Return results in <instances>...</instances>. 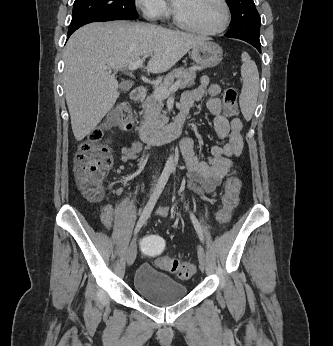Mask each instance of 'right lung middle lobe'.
<instances>
[{"mask_svg":"<svg viewBox=\"0 0 333 346\" xmlns=\"http://www.w3.org/2000/svg\"><path fill=\"white\" fill-rule=\"evenodd\" d=\"M135 0H75L69 31L91 22L137 19Z\"/></svg>","mask_w":333,"mask_h":346,"instance_id":"1","label":"right lung middle lobe"}]
</instances>
